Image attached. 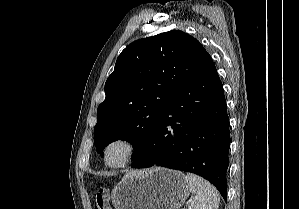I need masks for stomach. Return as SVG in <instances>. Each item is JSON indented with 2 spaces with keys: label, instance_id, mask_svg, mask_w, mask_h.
I'll use <instances>...</instances> for the list:
<instances>
[{
  "label": "stomach",
  "instance_id": "obj_1",
  "mask_svg": "<svg viewBox=\"0 0 299 209\" xmlns=\"http://www.w3.org/2000/svg\"><path fill=\"white\" fill-rule=\"evenodd\" d=\"M189 194L184 173L154 167L126 174L111 193L115 209H179Z\"/></svg>",
  "mask_w": 299,
  "mask_h": 209
}]
</instances>
